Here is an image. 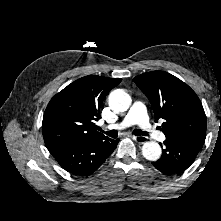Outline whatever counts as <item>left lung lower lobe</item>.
<instances>
[{
	"label": "left lung lower lobe",
	"mask_w": 221,
	"mask_h": 221,
	"mask_svg": "<svg viewBox=\"0 0 221 221\" xmlns=\"http://www.w3.org/2000/svg\"><path fill=\"white\" fill-rule=\"evenodd\" d=\"M206 135H191L182 138H166L165 148L153 166L166 175L184 172L201 150Z\"/></svg>",
	"instance_id": "obj_1"
}]
</instances>
